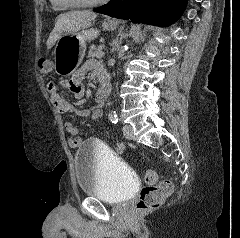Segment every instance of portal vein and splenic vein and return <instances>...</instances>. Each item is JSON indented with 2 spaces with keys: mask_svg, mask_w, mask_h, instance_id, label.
<instances>
[{
  "mask_svg": "<svg viewBox=\"0 0 240 238\" xmlns=\"http://www.w3.org/2000/svg\"><path fill=\"white\" fill-rule=\"evenodd\" d=\"M102 48H103V46L101 45L100 48H99L100 52H99L98 58H101V57L104 56V52L102 51Z\"/></svg>",
  "mask_w": 240,
  "mask_h": 238,
  "instance_id": "1",
  "label": "portal vein and splenic vein"
}]
</instances>
